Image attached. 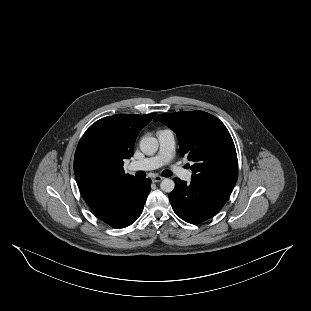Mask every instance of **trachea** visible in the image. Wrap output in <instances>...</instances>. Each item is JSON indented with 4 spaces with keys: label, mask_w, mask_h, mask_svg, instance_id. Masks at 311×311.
<instances>
[{
    "label": "trachea",
    "mask_w": 311,
    "mask_h": 311,
    "mask_svg": "<svg viewBox=\"0 0 311 311\" xmlns=\"http://www.w3.org/2000/svg\"><path fill=\"white\" fill-rule=\"evenodd\" d=\"M171 175V171L170 170H165L162 172V176L164 177H169Z\"/></svg>",
    "instance_id": "3493384b"
}]
</instances>
